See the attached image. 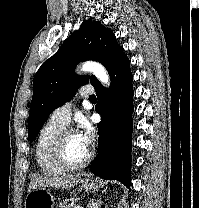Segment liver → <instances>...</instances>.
<instances>
[{"label": "liver", "mask_w": 199, "mask_h": 208, "mask_svg": "<svg viewBox=\"0 0 199 208\" xmlns=\"http://www.w3.org/2000/svg\"><path fill=\"white\" fill-rule=\"evenodd\" d=\"M80 175H62V176H45L32 179L28 187V194L36 190L37 188L43 187H54L61 189H69L76 186L80 181Z\"/></svg>", "instance_id": "6515ba94"}]
</instances>
